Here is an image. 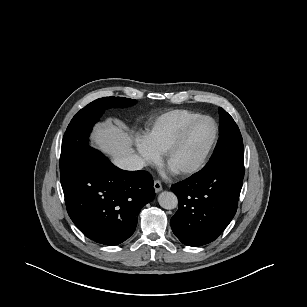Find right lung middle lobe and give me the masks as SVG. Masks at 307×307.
Segmentation results:
<instances>
[{
	"label": "right lung middle lobe",
	"instance_id": "dd1d6c3e",
	"mask_svg": "<svg viewBox=\"0 0 307 307\" xmlns=\"http://www.w3.org/2000/svg\"><path fill=\"white\" fill-rule=\"evenodd\" d=\"M136 103L134 99L124 97H105L97 99L81 109L69 123L62 140L60 156V174L70 170L89 149L88 137L93 125L104 110L111 107H127Z\"/></svg>",
	"mask_w": 307,
	"mask_h": 307
}]
</instances>
